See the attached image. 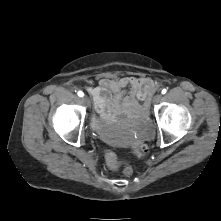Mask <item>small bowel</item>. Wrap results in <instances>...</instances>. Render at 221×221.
I'll list each match as a JSON object with an SVG mask.
<instances>
[{
	"instance_id": "1",
	"label": "small bowel",
	"mask_w": 221,
	"mask_h": 221,
	"mask_svg": "<svg viewBox=\"0 0 221 221\" xmlns=\"http://www.w3.org/2000/svg\"><path fill=\"white\" fill-rule=\"evenodd\" d=\"M128 88V94L125 89ZM155 90V83L148 77L125 76L101 79L97 87H89L94 107L102 119L122 114L125 117H145L146 101ZM144 101V104H140Z\"/></svg>"
}]
</instances>
